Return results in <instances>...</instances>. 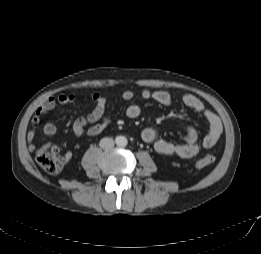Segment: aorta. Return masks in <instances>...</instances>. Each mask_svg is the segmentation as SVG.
<instances>
[{"mask_svg":"<svg viewBox=\"0 0 261 254\" xmlns=\"http://www.w3.org/2000/svg\"><path fill=\"white\" fill-rule=\"evenodd\" d=\"M115 142L118 146H126L128 141L125 136H117Z\"/></svg>","mask_w":261,"mask_h":254,"instance_id":"1","label":"aorta"}]
</instances>
